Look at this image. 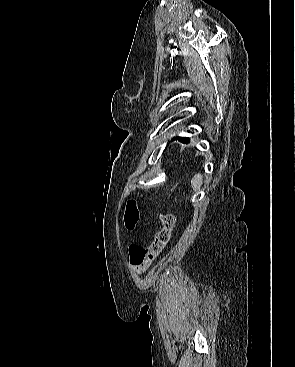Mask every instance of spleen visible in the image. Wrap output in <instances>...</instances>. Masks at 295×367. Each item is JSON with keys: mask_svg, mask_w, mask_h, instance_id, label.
Here are the masks:
<instances>
[{"mask_svg": "<svg viewBox=\"0 0 295 367\" xmlns=\"http://www.w3.org/2000/svg\"><path fill=\"white\" fill-rule=\"evenodd\" d=\"M202 176L200 174L195 175L191 180V186L194 190H198L202 185Z\"/></svg>", "mask_w": 295, "mask_h": 367, "instance_id": "3e777b00", "label": "spleen"}]
</instances>
